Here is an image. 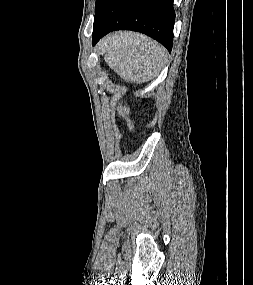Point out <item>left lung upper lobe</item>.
I'll return each instance as SVG.
<instances>
[{
    "label": "left lung upper lobe",
    "instance_id": "left-lung-upper-lobe-1",
    "mask_svg": "<svg viewBox=\"0 0 253 285\" xmlns=\"http://www.w3.org/2000/svg\"><path fill=\"white\" fill-rule=\"evenodd\" d=\"M107 0H96V12L94 16V20L97 18L99 13L101 12L103 6L105 5Z\"/></svg>",
    "mask_w": 253,
    "mask_h": 285
}]
</instances>
